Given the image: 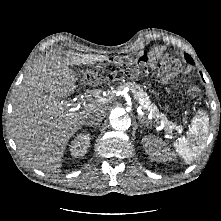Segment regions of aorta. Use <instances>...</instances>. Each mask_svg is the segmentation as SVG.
Masks as SVG:
<instances>
[{
  "mask_svg": "<svg viewBox=\"0 0 221 221\" xmlns=\"http://www.w3.org/2000/svg\"><path fill=\"white\" fill-rule=\"evenodd\" d=\"M132 120L123 108H116L111 112L110 124L114 130L126 131L130 128Z\"/></svg>",
  "mask_w": 221,
  "mask_h": 221,
  "instance_id": "aorta-1",
  "label": "aorta"
}]
</instances>
